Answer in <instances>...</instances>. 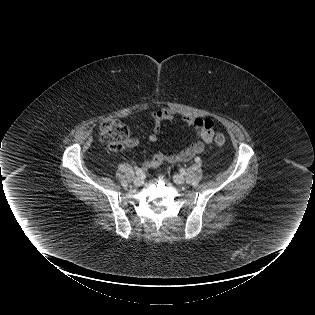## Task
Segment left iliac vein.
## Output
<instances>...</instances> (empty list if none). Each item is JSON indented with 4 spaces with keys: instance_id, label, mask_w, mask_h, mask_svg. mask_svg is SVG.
<instances>
[{
    "instance_id": "obj_1",
    "label": "left iliac vein",
    "mask_w": 315,
    "mask_h": 315,
    "mask_svg": "<svg viewBox=\"0 0 315 315\" xmlns=\"http://www.w3.org/2000/svg\"><path fill=\"white\" fill-rule=\"evenodd\" d=\"M173 181H174L176 184L181 185V184H184L185 178H184V176L181 175V174H176V175H174V177H173Z\"/></svg>"
}]
</instances>
